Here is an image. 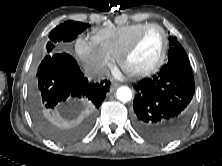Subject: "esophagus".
<instances>
[{
  "label": "esophagus",
  "mask_w": 222,
  "mask_h": 166,
  "mask_svg": "<svg viewBox=\"0 0 222 166\" xmlns=\"http://www.w3.org/2000/svg\"><path fill=\"white\" fill-rule=\"evenodd\" d=\"M120 85H121V84H120L119 82H117V81H113V82H112V87H113L114 89L118 88Z\"/></svg>",
  "instance_id": "34e87169"
}]
</instances>
